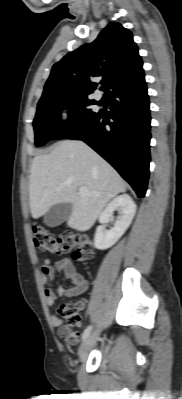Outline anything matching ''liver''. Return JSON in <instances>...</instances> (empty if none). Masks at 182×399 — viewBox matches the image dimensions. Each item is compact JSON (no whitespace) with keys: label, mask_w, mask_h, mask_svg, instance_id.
<instances>
[{"label":"liver","mask_w":182,"mask_h":399,"mask_svg":"<svg viewBox=\"0 0 182 399\" xmlns=\"http://www.w3.org/2000/svg\"><path fill=\"white\" fill-rule=\"evenodd\" d=\"M86 187L87 195L78 189ZM126 184L117 171L81 141L65 140L49 153L34 157L29 177L30 211L34 219L58 203H71L67 225L89 230L102 209Z\"/></svg>","instance_id":"1"}]
</instances>
